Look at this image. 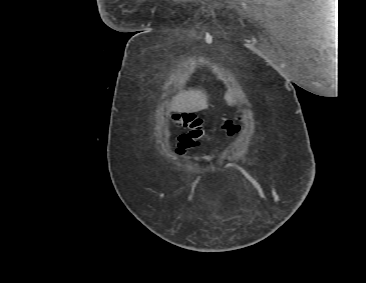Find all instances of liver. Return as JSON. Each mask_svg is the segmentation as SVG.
<instances>
[{
    "label": "liver",
    "mask_w": 366,
    "mask_h": 283,
    "mask_svg": "<svg viewBox=\"0 0 366 283\" xmlns=\"http://www.w3.org/2000/svg\"><path fill=\"white\" fill-rule=\"evenodd\" d=\"M228 105H232L234 100L230 93L224 96ZM208 96L201 89H190L180 92L172 103V110L180 113H192L208 108Z\"/></svg>",
    "instance_id": "6515ba94"
}]
</instances>
